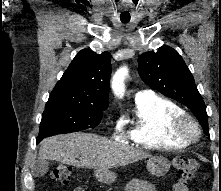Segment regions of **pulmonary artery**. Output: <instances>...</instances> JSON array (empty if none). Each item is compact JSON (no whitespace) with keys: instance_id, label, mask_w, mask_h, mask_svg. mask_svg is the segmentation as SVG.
Instances as JSON below:
<instances>
[{"instance_id":"pulmonary-artery-1","label":"pulmonary artery","mask_w":221,"mask_h":191,"mask_svg":"<svg viewBox=\"0 0 221 191\" xmlns=\"http://www.w3.org/2000/svg\"><path fill=\"white\" fill-rule=\"evenodd\" d=\"M154 96V93L151 90L143 89L139 90L135 94V102H142L151 99Z\"/></svg>"}]
</instances>
